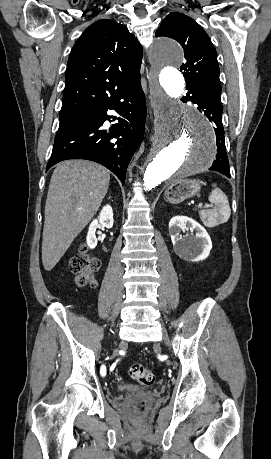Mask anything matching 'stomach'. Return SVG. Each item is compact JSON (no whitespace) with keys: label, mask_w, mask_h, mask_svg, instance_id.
<instances>
[{"label":"stomach","mask_w":271,"mask_h":459,"mask_svg":"<svg viewBox=\"0 0 271 459\" xmlns=\"http://www.w3.org/2000/svg\"><path fill=\"white\" fill-rule=\"evenodd\" d=\"M201 182L197 180H174L170 186H168L165 192V198L170 204H180L188 198L198 196L200 192Z\"/></svg>","instance_id":"0dacf381"}]
</instances>
